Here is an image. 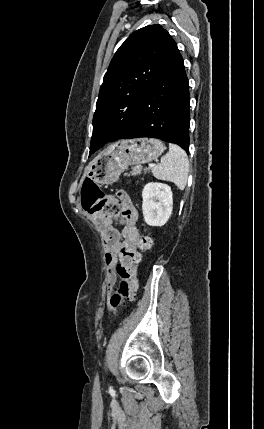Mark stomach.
I'll return each mask as SVG.
<instances>
[{"label": "stomach", "mask_w": 264, "mask_h": 429, "mask_svg": "<svg viewBox=\"0 0 264 429\" xmlns=\"http://www.w3.org/2000/svg\"><path fill=\"white\" fill-rule=\"evenodd\" d=\"M164 150V143L155 138L122 140L97 156L88 166L86 174L97 184L110 185L128 166L151 162Z\"/></svg>", "instance_id": "1"}]
</instances>
